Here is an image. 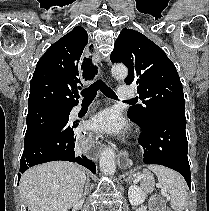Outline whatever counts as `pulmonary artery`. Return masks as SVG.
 Instances as JSON below:
<instances>
[{
	"label": "pulmonary artery",
	"mask_w": 209,
	"mask_h": 211,
	"mask_svg": "<svg viewBox=\"0 0 209 211\" xmlns=\"http://www.w3.org/2000/svg\"><path fill=\"white\" fill-rule=\"evenodd\" d=\"M117 95L120 99H131V98H134L136 96V92L131 86L121 85L118 88ZM81 108L82 107L79 105L75 108V110L80 111Z\"/></svg>",
	"instance_id": "obj_1"
}]
</instances>
